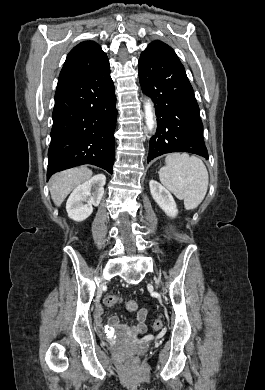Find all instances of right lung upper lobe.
<instances>
[{"instance_id": "obj_1", "label": "right lung upper lobe", "mask_w": 265, "mask_h": 390, "mask_svg": "<svg viewBox=\"0 0 265 390\" xmlns=\"http://www.w3.org/2000/svg\"><path fill=\"white\" fill-rule=\"evenodd\" d=\"M108 62L106 53L93 41H84L68 54L60 72L58 84L84 76Z\"/></svg>"}]
</instances>
